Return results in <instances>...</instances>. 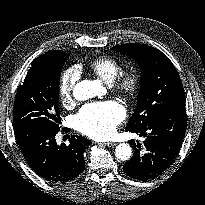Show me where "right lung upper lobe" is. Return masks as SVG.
<instances>
[{
    "instance_id": "obj_1",
    "label": "right lung upper lobe",
    "mask_w": 205,
    "mask_h": 205,
    "mask_svg": "<svg viewBox=\"0 0 205 205\" xmlns=\"http://www.w3.org/2000/svg\"><path fill=\"white\" fill-rule=\"evenodd\" d=\"M65 54L64 51L62 50H54V51H49L39 57H37L33 62H32V67L37 66L39 64L45 63V62H50L59 59L61 56Z\"/></svg>"
}]
</instances>
